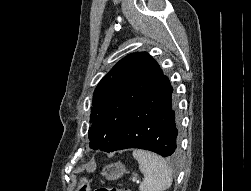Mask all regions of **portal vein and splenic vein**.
<instances>
[{"label": "portal vein and splenic vein", "instance_id": "1", "mask_svg": "<svg viewBox=\"0 0 251 191\" xmlns=\"http://www.w3.org/2000/svg\"><path fill=\"white\" fill-rule=\"evenodd\" d=\"M136 181H139V179H136V177H133V179L131 180V183H132V184H135Z\"/></svg>", "mask_w": 251, "mask_h": 191}]
</instances>
